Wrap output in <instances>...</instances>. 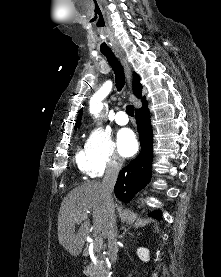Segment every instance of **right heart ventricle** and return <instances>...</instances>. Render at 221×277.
Wrapping results in <instances>:
<instances>
[{
  "instance_id": "1",
  "label": "right heart ventricle",
  "mask_w": 221,
  "mask_h": 277,
  "mask_svg": "<svg viewBox=\"0 0 221 277\" xmlns=\"http://www.w3.org/2000/svg\"><path fill=\"white\" fill-rule=\"evenodd\" d=\"M76 164L79 168L80 171L83 173L89 174L90 169L87 161V156H86V149H79L76 153L75 156Z\"/></svg>"
}]
</instances>
